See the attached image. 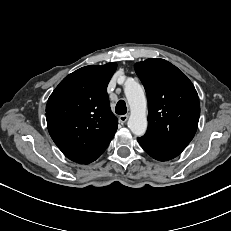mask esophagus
Segmentation results:
<instances>
[{
	"instance_id": "obj_1",
	"label": "esophagus",
	"mask_w": 231,
	"mask_h": 231,
	"mask_svg": "<svg viewBox=\"0 0 231 231\" xmlns=\"http://www.w3.org/2000/svg\"><path fill=\"white\" fill-rule=\"evenodd\" d=\"M128 120V115H121L119 116L120 123L124 124Z\"/></svg>"
}]
</instances>
